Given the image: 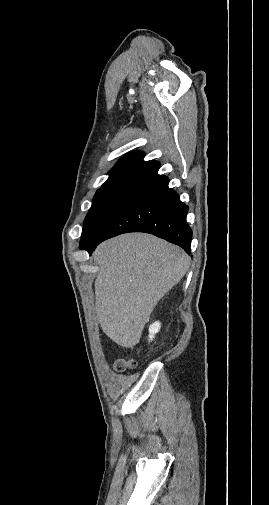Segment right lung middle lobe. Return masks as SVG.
<instances>
[{"label": "right lung middle lobe", "mask_w": 269, "mask_h": 505, "mask_svg": "<svg viewBox=\"0 0 269 505\" xmlns=\"http://www.w3.org/2000/svg\"><path fill=\"white\" fill-rule=\"evenodd\" d=\"M137 191V189L125 187L98 189L84 221L80 248L93 243L115 214Z\"/></svg>", "instance_id": "obj_1"}]
</instances>
